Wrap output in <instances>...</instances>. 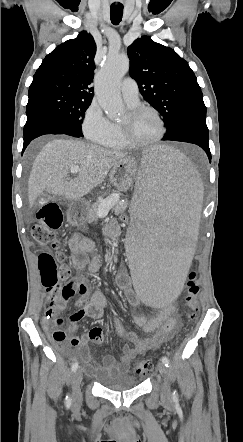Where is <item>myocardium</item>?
I'll list each match as a JSON object with an SVG mask.
<instances>
[{
  "label": "myocardium",
  "instance_id": "f54148a6",
  "mask_svg": "<svg viewBox=\"0 0 243 442\" xmlns=\"http://www.w3.org/2000/svg\"><path fill=\"white\" fill-rule=\"evenodd\" d=\"M143 112H151L155 115V117L158 120L159 126H160V131L155 138H153L149 141L138 142V141H134L133 139H131V137L129 135V124L126 122H120V124H119L120 136H121L122 141L124 142V144L127 147L143 148V147H149V146L155 145L159 141L162 140V138L164 137V135L166 133L165 122H164L160 112L152 106L136 105V106L130 108L129 115L131 117H136V116L142 114Z\"/></svg>",
  "mask_w": 243,
  "mask_h": 442
}]
</instances>
